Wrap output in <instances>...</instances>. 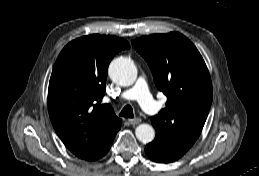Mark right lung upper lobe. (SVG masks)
<instances>
[{
	"instance_id": "obj_1",
	"label": "right lung upper lobe",
	"mask_w": 259,
	"mask_h": 176,
	"mask_svg": "<svg viewBox=\"0 0 259 176\" xmlns=\"http://www.w3.org/2000/svg\"><path fill=\"white\" fill-rule=\"evenodd\" d=\"M122 38L88 35L67 44L49 82L48 110L64 145L87 160L115 137L121 127L111 105H101L110 61L129 48Z\"/></svg>"
}]
</instances>
